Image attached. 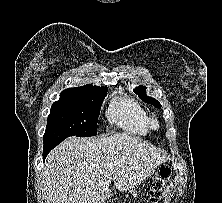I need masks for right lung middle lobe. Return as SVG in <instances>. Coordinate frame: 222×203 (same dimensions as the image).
I'll use <instances>...</instances> for the list:
<instances>
[{
    "mask_svg": "<svg viewBox=\"0 0 222 203\" xmlns=\"http://www.w3.org/2000/svg\"><path fill=\"white\" fill-rule=\"evenodd\" d=\"M106 94L107 91H63L51 106L43 142H61L70 136H95Z\"/></svg>",
    "mask_w": 222,
    "mask_h": 203,
    "instance_id": "obj_1",
    "label": "right lung middle lobe"
}]
</instances>
